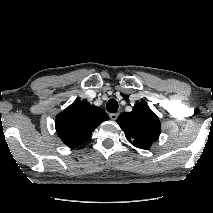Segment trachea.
<instances>
[{
  "instance_id": "1",
  "label": "trachea",
  "mask_w": 213,
  "mask_h": 213,
  "mask_svg": "<svg viewBox=\"0 0 213 213\" xmlns=\"http://www.w3.org/2000/svg\"><path fill=\"white\" fill-rule=\"evenodd\" d=\"M106 109L110 113H115L118 110V102L115 99H110L106 104Z\"/></svg>"
}]
</instances>
